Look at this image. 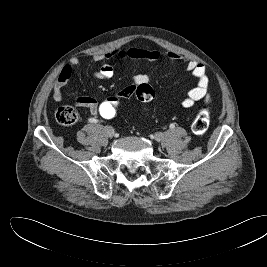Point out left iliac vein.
Wrapping results in <instances>:
<instances>
[{"label":"left iliac vein","instance_id":"4c4485c4","mask_svg":"<svg viewBox=\"0 0 267 267\" xmlns=\"http://www.w3.org/2000/svg\"><path fill=\"white\" fill-rule=\"evenodd\" d=\"M163 138H164V133H162V132H156V133L154 134V139H155L156 141H162Z\"/></svg>","mask_w":267,"mask_h":267}]
</instances>
